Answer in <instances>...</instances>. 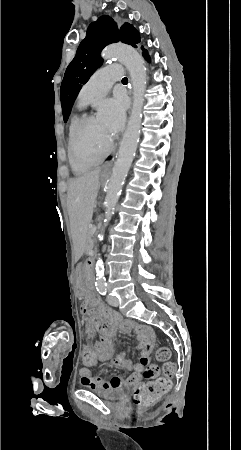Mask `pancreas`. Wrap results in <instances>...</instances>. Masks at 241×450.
Here are the masks:
<instances>
[{
  "label": "pancreas",
  "mask_w": 241,
  "mask_h": 450,
  "mask_svg": "<svg viewBox=\"0 0 241 450\" xmlns=\"http://www.w3.org/2000/svg\"><path fill=\"white\" fill-rule=\"evenodd\" d=\"M91 231H92V227H90V232ZM90 232H87V242H92L93 234H91ZM87 250H92V245H87Z\"/></svg>",
  "instance_id": "1"
}]
</instances>
